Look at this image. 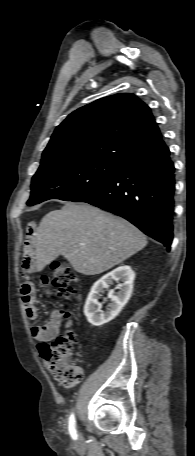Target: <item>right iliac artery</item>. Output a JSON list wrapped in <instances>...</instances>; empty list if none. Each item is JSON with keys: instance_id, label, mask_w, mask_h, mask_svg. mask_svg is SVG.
I'll return each instance as SVG.
<instances>
[{"instance_id": "right-iliac-artery-1", "label": "right iliac artery", "mask_w": 195, "mask_h": 456, "mask_svg": "<svg viewBox=\"0 0 195 456\" xmlns=\"http://www.w3.org/2000/svg\"><path fill=\"white\" fill-rule=\"evenodd\" d=\"M69 433L73 439H77L76 421L74 414H71L69 418Z\"/></svg>"}]
</instances>
